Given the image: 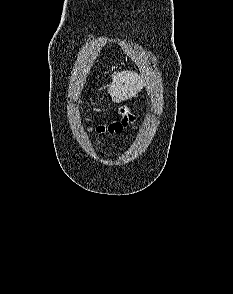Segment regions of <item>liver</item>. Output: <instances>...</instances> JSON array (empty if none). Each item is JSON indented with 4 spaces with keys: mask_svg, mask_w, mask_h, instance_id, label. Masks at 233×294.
<instances>
[{
    "mask_svg": "<svg viewBox=\"0 0 233 294\" xmlns=\"http://www.w3.org/2000/svg\"><path fill=\"white\" fill-rule=\"evenodd\" d=\"M112 82L106 87L114 103L134 97L145 85L143 77L133 71L112 74Z\"/></svg>",
    "mask_w": 233,
    "mask_h": 294,
    "instance_id": "1",
    "label": "liver"
}]
</instances>
